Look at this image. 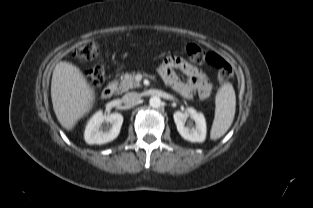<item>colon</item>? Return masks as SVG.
Returning <instances> with one entry per match:
<instances>
[{"mask_svg": "<svg viewBox=\"0 0 313 208\" xmlns=\"http://www.w3.org/2000/svg\"><path fill=\"white\" fill-rule=\"evenodd\" d=\"M98 45L94 41L81 44L75 51V55L83 61L92 60L98 55ZM187 56L197 64L207 62L217 70L218 79L221 82L229 81L233 76L232 67L219 55L215 53H205L199 46L189 44L186 48ZM88 79L94 86L103 83L105 72L102 66L97 65L88 71Z\"/></svg>", "mask_w": 313, "mask_h": 208, "instance_id": "obj_1", "label": "colon"}]
</instances>
